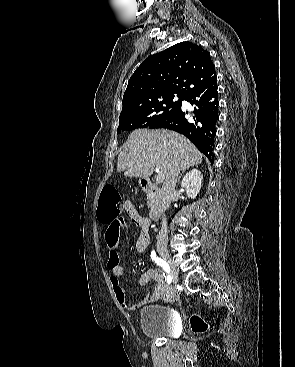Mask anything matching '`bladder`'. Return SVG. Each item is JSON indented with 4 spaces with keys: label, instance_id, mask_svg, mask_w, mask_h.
Instances as JSON below:
<instances>
[{
    "label": "bladder",
    "instance_id": "1",
    "mask_svg": "<svg viewBox=\"0 0 295 367\" xmlns=\"http://www.w3.org/2000/svg\"><path fill=\"white\" fill-rule=\"evenodd\" d=\"M142 333L149 338H171L177 333L176 312L161 304H149L140 312Z\"/></svg>",
    "mask_w": 295,
    "mask_h": 367
}]
</instances>
